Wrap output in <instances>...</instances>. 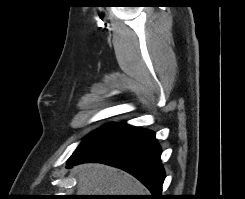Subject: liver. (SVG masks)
Returning <instances> with one entry per match:
<instances>
[{
    "label": "liver",
    "instance_id": "1",
    "mask_svg": "<svg viewBox=\"0 0 245 199\" xmlns=\"http://www.w3.org/2000/svg\"><path fill=\"white\" fill-rule=\"evenodd\" d=\"M78 195H146L145 187L131 175L102 164L76 167Z\"/></svg>",
    "mask_w": 245,
    "mask_h": 199
}]
</instances>
